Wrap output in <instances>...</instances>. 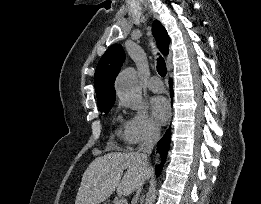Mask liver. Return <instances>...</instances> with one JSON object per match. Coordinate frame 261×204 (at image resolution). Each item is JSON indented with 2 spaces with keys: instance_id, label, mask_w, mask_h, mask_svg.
<instances>
[{
  "instance_id": "obj_1",
  "label": "liver",
  "mask_w": 261,
  "mask_h": 204,
  "mask_svg": "<svg viewBox=\"0 0 261 204\" xmlns=\"http://www.w3.org/2000/svg\"><path fill=\"white\" fill-rule=\"evenodd\" d=\"M152 173L149 166L141 165L137 152H112L97 157L83 174L75 204H100L116 189L118 195L128 196Z\"/></svg>"
}]
</instances>
